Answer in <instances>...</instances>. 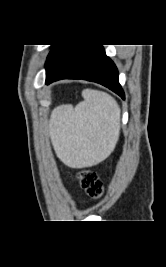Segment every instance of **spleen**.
<instances>
[{
	"mask_svg": "<svg viewBox=\"0 0 166 267\" xmlns=\"http://www.w3.org/2000/svg\"><path fill=\"white\" fill-rule=\"evenodd\" d=\"M84 101L56 108L50 135L58 157L69 167L96 165L114 150L120 134V108L109 94L85 89Z\"/></svg>",
	"mask_w": 166,
	"mask_h": 267,
	"instance_id": "obj_1",
	"label": "spleen"
}]
</instances>
